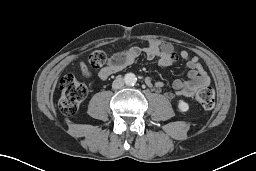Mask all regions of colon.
Instances as JSON below:
<instances>
[{"label": "colon", "mask_w": 256, "mask_h": 171, "mask_svg": "<svg viewBox=\"0 0 256 171\" xmlns=\"http://www.w3.org/2000/svg\"><path fill=\"white\" fill-rule=\"evenodd\" d=\"M106 56L103 51H93L88 58V65L80 67L82 77L88 78L91 74L90 68H98L104 65ZM60 99L59 106L64 115L70 116L76 113L80 103L88 94L85 83L73 75H65L59 83ZM196 100L205 109H211L215 105V91L211 85L199 88L195 94Z\"/></svg>", "instance_id": "obj_1"}]
</instances>
